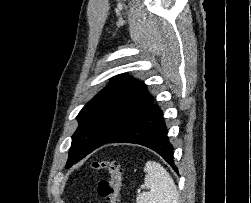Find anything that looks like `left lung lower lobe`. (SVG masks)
Segmentation results:
<instances>
[{"label": "left lung lower lobe", "instance_id": "1", "mask_svg": "<svg viewBox=\"0 0 251 203\" xmlns=\"http://www.w3.org/2000/svg\"><path fill=\"white\" fill-rule=\"evenodd\" d=\"M134 143L157 152L177 173L173 161V147L167 137L163 112L158 105H152L129 123L106 143Z\"/></svg>", "mask_w": 251, "mask_h": 203}]
</instances>
